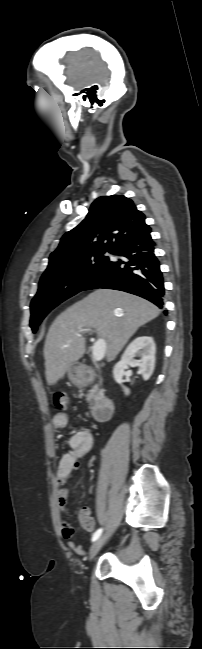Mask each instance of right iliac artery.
<instances>
[{
  "instance_id": "right-iliac-artery-1",
  "label": "right iliac artery",
  "mask_w": 202,
  "mask_h": 649,
  "mask_svg": "<svg viewBox=\"0 0 202 649\" xmlns=\"http://www.w3.org/2000/svg\"><path fill=\"white\" fill-rule=\"evenodd\" d=\"M102 531H103V529L100 528L93 534V536H92V541L93 542L96 541L101 536Z\"/></svg>"
}]
</instances>
